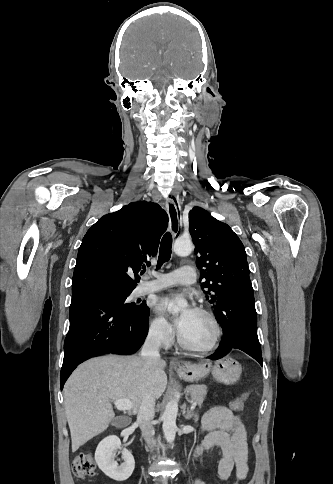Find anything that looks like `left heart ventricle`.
Wrapping results in <instances>:
<instances>
[{"instance_id":"b2bd125f","label":"left heart ventricle","mask_w":333,"mask_h":484,"mask_svg":"<svg viewBox=\"0 0 333 484\" xmlns=\"http://www.w3.org/2000/svg\"><path fill=\"white\" fill-rule=\"evenodd\" d=\"M179 332L188 344L195 347H204L211 342L214 336V327L205 315L194 310Z\"/></svg>"}]
</instances>
